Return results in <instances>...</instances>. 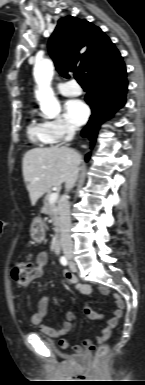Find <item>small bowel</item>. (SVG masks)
I'll list each match as a JSON object with an SVG mask.
<instances>
[{
    "label": "small bowel",
    "mask_w": 145,
    "mask_h": 385,
    "mask_svg": "<svg viewBox=\"0 0 145 385\" xmlns=\"http://www.w3.org/2000/svg\"><path fill=\"white\" fill-rule=\"evenodd\" d=\"M48 262V255L46 252H40L36 257V267L34 269V274L32 279H37L43 275V267ZM65 280L74 285L77 292L80 294L90 297L92 295V288L88 284L79 283L78 278L75 274L64 271L63 273ZM27 286H23L26 288ZM100 292L103 295L111 296L116 304L117 309L114 311L112 316L109 318L107 325L102 329L101 336L98 341L100 343L105 342L111 336L112 330L117 326L119 320L122 317V310L125 307V303L122 297L111 290L108 287H101ZM49 299L46 295L42 296L38 303V310L36 313H33L29 316L28 320L30 323L39 326V330L42 334L47 335L49 337L59 339V344L62 348H68L69 342L64 338L73 328V321L75 318V313L70 311L66 315V321L63 324L61 329L52 328L46 324H43V319L45 318L48 310ZM85 314L88 318L93 320H102L104 319V315L102 313L94 311L90 305L87 303L85 306ZM89 346H93V342L90 340L84 341V347L88 348ZM73 350L76 353H81L82 348L79 345L73 346Z\"/></svg>",
    "instance_id": "obj_1"
}]
</instances>
